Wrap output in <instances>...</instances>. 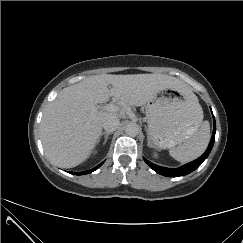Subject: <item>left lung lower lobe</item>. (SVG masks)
I'll return each mask as SVG.
<instances>
[{
	"mask_svg": "<svg viewBox=\"0 0 243 243\" xmlns=\"http://www.w3.org/2000/svg\"><path fill=\"white\" fill-rule=\"evenodd\" d=\"M213 120H214V128H213V134L209 143V146L207 148V150L204 152V154L199 157L198 159L185 164L179 168H165V167H161L158 165H155L153 163H151L150 161L144 159V161L157 173L164 175L166 177H177V176H184L187 175L189 173H191L192 171H194L196 168H198L203 161L208 157V155L210 154L212 147L214 145V141H215V132H216V125H215V118L213 116Z\"/></svg>",
	"mask_w": 243,
	"mask_h": 243,
	"instance_id": "1",
	"label": "left lung lower lobe"
}]
</instances>
